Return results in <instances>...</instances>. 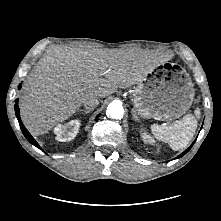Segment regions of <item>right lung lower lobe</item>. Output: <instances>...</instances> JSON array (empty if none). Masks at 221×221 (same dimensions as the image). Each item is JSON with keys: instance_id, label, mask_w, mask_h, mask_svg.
<instances>
[{"instance_id": "obj_1", "label": "right lung lower lobe", "mask_w": 221, "mask_h": 221, "mask_svg": "<svg viewBox=\"0 0 221 221\" xmlns=\"http://www.w3.org/2000/svg\"><path fill=\"white\" fill-rule=\"evenodd\" d=\"M19 88H21V85L19 86ZM16 104L14 105L15 108V113H16V117L18 119L20 128L22 130V133L24 134V136L26 137V139L33 145H35L37 148H40L39 144L35 141V139L30 135V133L27 131V129L25 128V126L23 125L21 119H20V115H19V106H18V99H16Z\"/></svg>"}]
</instances>
